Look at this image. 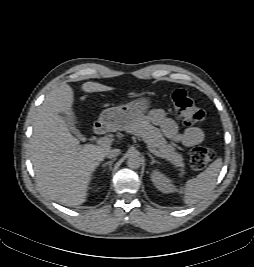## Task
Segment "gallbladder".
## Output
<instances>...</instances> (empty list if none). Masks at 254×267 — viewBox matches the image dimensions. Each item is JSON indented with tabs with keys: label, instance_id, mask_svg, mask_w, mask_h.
Returning <instances> with one entry per match:
<instances>
[{
	"label": "gallbladder",
	"instance_id": "gallbladder-1",
	"mask_svg": "<svg viewBox=\"0 0 254 267\" xmlns=\"http://www.w3.org/2000/svg\"><path fill=\"white\" fill-rule=\"evenodd\" d=\"M65 124L67 125L68 129L74 134L76 135L78 138L82 139V135L80 134V132L76 129V127L73 125V123L70 121V119L67 116H63L62 117Z\"/></svg>",
	"mask_w": 254,
	"mask_h": 267
}]
</instances>
